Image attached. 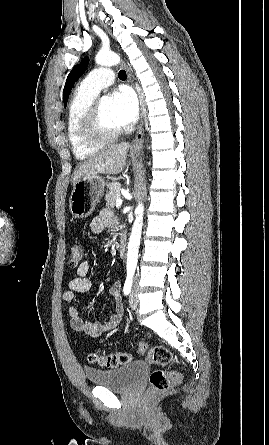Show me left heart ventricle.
I'll use <instances>...</instances> for the list:
<instances>
[{
  "label": "left heart ventricle",
  "mask_w": 269,
  "mask_h": 445,
  "mask_svg": "<svg viewBox=\"0 0 269 445\" xmlns=\"http://www.w3.org/2000/svg\"><path fill=\"white\" fill-rule=\"evenodd\" d=\"M99 108H100L101 120L106 127L111 129L120 128V126L114 119L110 102L101 103Z\"/></svg>",
  "instance_id": "obj_1"
}]
</instances>
